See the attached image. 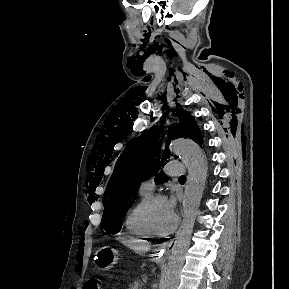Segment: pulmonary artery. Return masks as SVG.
Returning a JSON list of instances; mask_svg holds the SVG:
<instances>
[{"instance_id": "1", "label": "pulmonary artery", "mask_w": 289, "mask_h": 289, "mask_svg": "<svg viewBox=\"0 0 289 289\" xmlns=\"http://www.w3.org/2000/svg\"><path fill=\"white\" fill-rule=\"evenodd\" d=\"M183 171H184L183 164L181 161H178V160L169 161L164 166V172L171 177H181L183 174ZM154 187H155V179L150 178L141 183L140 190L147 192V193H152L154 190Z\"/></svg>"}]
</instances>
